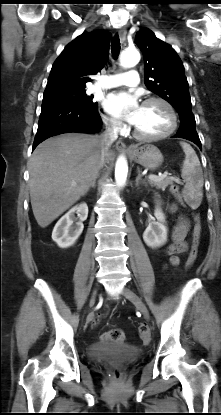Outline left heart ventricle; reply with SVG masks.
<instances>
[{"label": "left heart ventricle", "instance_id": "left-heart-ventricle-1", "mask_svg": "<svg viewBox=\"0 0 221 415\" xmlns=\"http://www.w3.org/2000/svg\"><path fill=\"white\" fill-rule=\"evenodd\" d=\"M170 124L171 118L167 108L161 103L152 102L141 106L134 125L143 134L156 135L165 132Z\"/></svg>", "mask_w": 221, "mask_h": 415}]
</instances>
